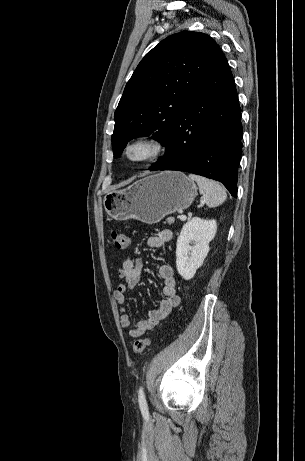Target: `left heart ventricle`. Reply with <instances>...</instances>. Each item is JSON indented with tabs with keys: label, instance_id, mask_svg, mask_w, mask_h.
I'll list each match as a JSON object with an SVG mask.
<instances>
[{
	"label": "left heart ventricle",
	"instance_id": "left-heart-ventricle-1",
	"mask_svg": "<svg viewBox=\"0 0 305 461\" xmlns=\"http://www.w3.org/2000/svg\"><path fill=\"white\" fill-rule=\"evenodd\" d=\"M145 152H146V149L144 147L138 146V147L133 148L130 151V156L133 158H138L144 155Z\"/></svg>",
	"mask_w": 305,
	"mask_h": 461
}]
</instances>
